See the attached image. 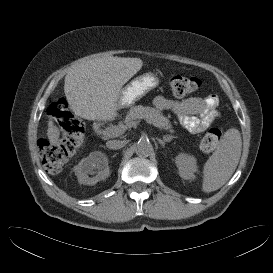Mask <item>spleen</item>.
Segmentation results:
<instances>
[{
    "mask_svg": "<svg viewBox=\"0 0 273 273\" xmlns=\"http://www.w3.org/2000/svg\"><path fill=\"white\" fill-rule=\"evenodd\" d=\"M242 140L239 130L231 128L203 168L202 190L206 193L221 188L234 173L241 156Z\"/></svg>",
    "mask_w": 273,
    "mask_h": 273,
    "instance_id": "1",
    "label": "spleen"
}]
</instances>
